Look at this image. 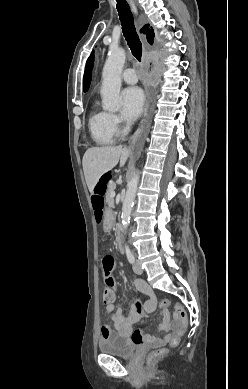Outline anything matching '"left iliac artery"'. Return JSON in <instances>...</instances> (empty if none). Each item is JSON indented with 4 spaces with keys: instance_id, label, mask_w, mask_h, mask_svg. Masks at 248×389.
Instances as JSON below:
<instances>
[{
    "instance_id": "left-iliac-artery-1",
    "label": "left iliac artery",
    "mask_w": 248,
    "mask_h": 389,
    "mask_svg": "<svg viewBox=\"0 0 248 389\" xmlns=\"http://www.w3.org/2000/svg\"><path fill=\"white\" fill-rule=\"evenodd\" d=\"M126 255H127L128 261H129L130 263H134L135 257H134V255H133V253L131 252V250H130L129 247L126 248Z\"/></svg>"
}]
</instances>
